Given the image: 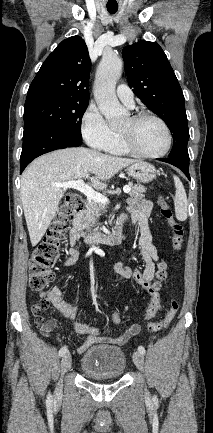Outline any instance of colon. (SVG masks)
Wrapping results in <instances>:
<instances>
[{
  "label": "colon",
  "mask_w": 213,
  "mask_h": 433,
  "mask_svg": "<svg viewBox=\"0 0 213 433\" xmlns=\"http://www.w3.org/2000/svg\"><path fill=\"white\" fill-rule=\"evenodd\" d=\"M84 198L78 193L69 194L61 203L51 225L41 241L33 248L29 263V285L33 290L47 292L49 284L54 279L53 267L59 258L60 250L66 239V233L71 220L84 206ZM160 215L167 222L171 234L170 240L175 250H180L183 245V228L174 217L173 212L168 202L159 197L157 200ZM157 277L159 280V288L163 280L167 277V267L165 263H160L158 266ZM49 301L43 299L32 307V314L36 324L40 327L45 326L46 319L44 313L49 308ZM179 304L177 301H172L169 310L164 318L159 322H150L148 328L151 331H159L167 327L177 314ZM121 320L119 313L113 314L112 321L118 324ZM132 336L130 331L123 334V339H128Z\"/></svg>",
  "instance_id": "obj_1"
}]
</instances>
